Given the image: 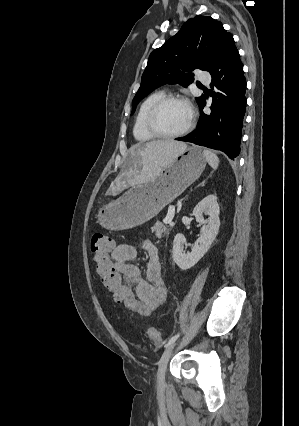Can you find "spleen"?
I'll use <instances>...</instances> for the list:
<instances>
[{
    "label": "spleen",
    "instance_id": "obj_1",
    "mask_svg": "<svg viewBox=\"0 0 299 426\" xmlns=\"http://www.w3.org/2000/svg\"><path fill=\"white\" fill-rule=\"evenodd\" d=\"M203 153L205 155V158H206V161L208 162V164L213 169H217V167L219 165V159H218L217 155L210 150H204Z\"/></svg>",
    "mask_w": 299,
    "mask_h": 426
}]
</instances>
